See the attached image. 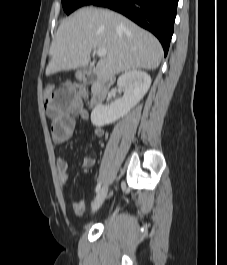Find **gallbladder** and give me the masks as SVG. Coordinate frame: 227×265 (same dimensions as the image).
<instances>
[{
    "instance_id": "obj_1",
    "label": "gallbladder",
    "mask_w": 227,
    "mask_h": 265,
    "mask_svg": "<svg viewBox=\"0 0 227 265\" xmlns=\"http://www.w3.org/2000/svg\"><path fill=\"white\" fill-rule=\"evenodd\" d=\"M91 68H92L91 66L87 65V66L85 67V70H86V71H89Z\"/></svg>"
}]
</instances>
